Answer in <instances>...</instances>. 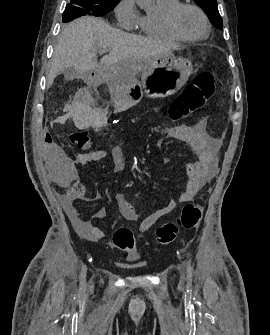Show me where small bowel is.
Returning a JSON list of instances; mask_svg holds the SVG:
<instances>
[{"label": "small bowel", "instance_id": "c3829d8e", "mask_svg": "<svg viewBox=\"0 0 270 335\" xmlns=\"http://www.w3.org/2000/svg\"><path fill=\"white\" fill-rule=\"evenodd\" d=\"M206 125L207 121L203 120L193 127L177 126L168 129V136L176 139H186L190 142L198 155V161L186 165L187 187L179 199L169 200L165 206L141 220L138 225L140 232H148L160 218L171 213L179 203L191 201L216 176L218 171L216 156L220 150L221 143L207 134ZM46 141L48 146L45 153L48 158H42V165H49L50 167L49 171L45 173L46 178H70L64 183L67 191L63 195L68 217L76 230L85 239L94 242L103 239L104 233L89 220L84 219L78 209L79 203L98 201L100 200V195L89 197L86 194L84 185L75 179L80 177V172L76 171V166L71 165L84 166L101 161L106 157V151L104 149H96L78 154L76 158H65L66 149H60L55 144H51L53 141L52 135H47ZM111 157L113 172L116 174L122 173L126 168L122 149L118 146L113 147L111 149ZM115 201L124 219L131 222L138 221L139 215L136 209L124 194L117 193ZM95 217L98 219L105 218L106 210L104 208L98 209Z\"/></svg>", "mask_w": 270, "mask_h": 335}]
</instances>
